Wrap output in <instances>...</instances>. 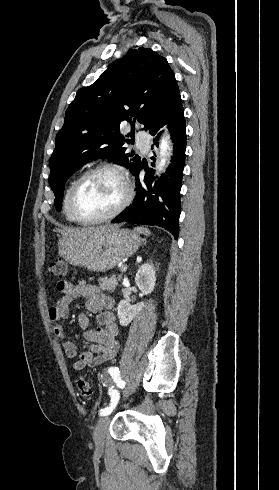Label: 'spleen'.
<instances>
[{"label": "spleen", "mask_w": 279, "mask_h": 490, "mask_svg": "<svg viewBox=\"0 0 279 490\" xmlns=\"http://www.w3.org/2000/svg\"><path fill=\"white\" fill-rule=\"evenodd\" d=\"M136 232H139V234H144V236H149L150 232L147 230V228H135Z\"/></svg>", "instance_id": "3e777b00"}]
</instances>
